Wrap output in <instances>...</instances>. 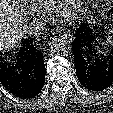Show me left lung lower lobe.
<instances>
[{
  "label": "left lung lower lobe",
  "instance_id": "1",
  "mask_svg": "<svg viewBox=\"0 0 113 113\" xmlns=\"http://www.w3.org/2000/svg\"><path fill=\"white\" fill-rule=\"evenodd\" d=\"M96 29L94 25L82 24L72 43L76 75L80 83L92 91L104 90L113 83V46L99 45L104 37Z\"/></svg>",
  "mask_w": 113,
  "mask_h": 113
}]
</instances>
